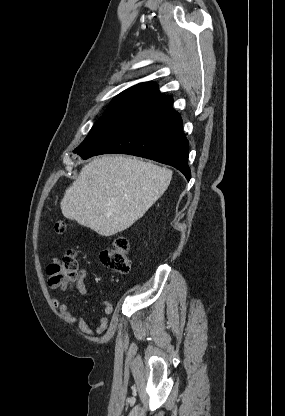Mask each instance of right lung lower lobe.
Instances as JSON below:
<instances>
[{
    "label": "right lung lower lobe",
    "mask_w": 285,
    "mask_h": 416,
    "mask_svg": "<svg viewBox=\"0 0 285 416\" xmlns=\"http://www.w3.org/2000/svg\"><path fill=\"white\" fill-rule=\"evenodd\" d=\"M189 142L182 120L172 108L162 109L77 153L83 159L107 153L130 154L171 165L191 178L188 166Z\"/></svg>",
    "instance_id": "obj_1"
}]
</instances>
